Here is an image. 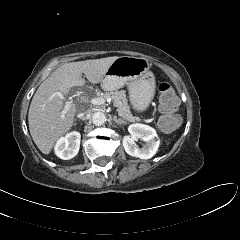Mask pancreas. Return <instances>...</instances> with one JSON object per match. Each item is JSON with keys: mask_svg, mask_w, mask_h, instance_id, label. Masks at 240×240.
<instances>
[{"mask_svg": "<svg viewBox=\"0 0 240 240\" xmlns=\"http://www.w3.org/2000/svg\"><path fill=\"white\" fill-rule=\"evenodd\" d=\"M102 98L109 99L111 98L114 102L115 107H117L119 115L129 122L138 121L137 117H134L128 106L127 97L124 90L115 91V92H106L101 96Z\"/></svg>", "mask_w": 240, "mask_h": 240, "instance_id": "1", "label": "pancreas"}]
</instances>
